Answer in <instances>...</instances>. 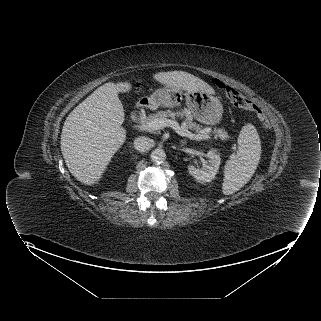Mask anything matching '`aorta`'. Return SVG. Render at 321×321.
Segmentation results:
<instances>
[{"label":"aorta","mask_w":321,"mask_h":321,"mask_svg":"<svg viewBox=\"0 0 321 321\" xmlns=\"http://www.w3.org/2000/svg\"><path fill=\"white\" fill-rule=\"evenodd\" d=\"M151 160L155 164H161L166 160V153L163 149H155L151 152Z\"/></svg>","instance_id":"762f6f07"}]
</instances>
